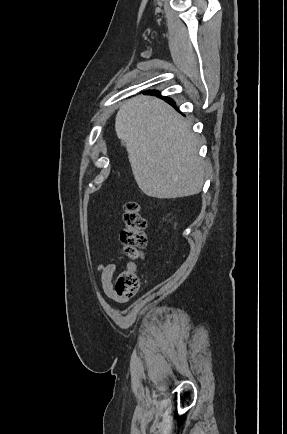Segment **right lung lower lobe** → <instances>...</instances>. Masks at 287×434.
Returning <instances> with one entry per match:
<instances>
[{
	"instance_id": "right-lung-lower-lobe-1",
	"label": "right lung lower lobe",
	"mask_w": 287,
	"mask_h": 434,
	"mask_svg": "<svg viewBox=\"0 0 287 434\" xmlns=\"http://www.w3.org/2000/svg\"><path fill=\"white\" fill-rule=\"evenodd\" d=\"M150 94H153V95H160L159 92H154V93H150ZM165 100H166L168 103H170L172 106H175V103H174L173 100H171V99H169V98H165Z\"/></svg>"
}]
</instances>
